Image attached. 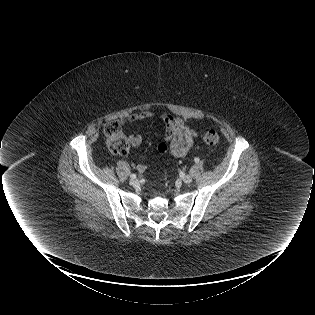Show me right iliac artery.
<instances>
[{
	"label": "right iliac artery",
	"instance_id": "right-iliac-artery-1",
	"mask_svg": "<svg viewBox=\"0 0 315 315\" xmlns=\"http://www.w3.org/2000/svg\"><path fill=\"white\" fill-rule=\"evenodd\" d=\"M130 178H131V179H135V178H136V174H131V175H130Z\"/></svg>",
	"mask_w": 315,
	"mask_h": 315
}]
</instances>
